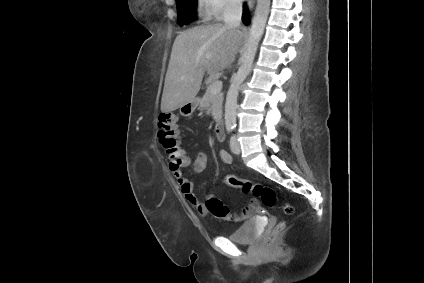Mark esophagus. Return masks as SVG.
Listing matches in <instances>:
<instances>
[{"label":"esophagus","mask_w":424,"mask_h":283,"mask_svg":"<svg viewBox=\"0 0 424 283\" xmlns=\"http://www.w3.org/2000/svg\"><path fill=\"white\" fill-rule=\"evenodd\" d=\"M249 9L251 10L255 4V0H248L247 2Z\"/></svg>","instance_id":"1"}]
</instances>
